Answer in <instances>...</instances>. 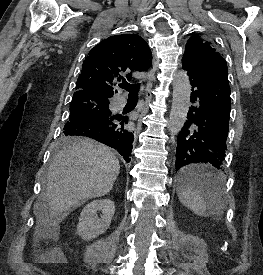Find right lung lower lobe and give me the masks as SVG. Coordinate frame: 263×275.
Returning <instances> with one entry per match:
<instances>
[{
	"mask_svg": "<svg viewBox=\"0 0 263 275\" xmlns=\"http://www.w3.org/2000/svg\"><path fill=\"white\" fill-rule=\"evenodd\" d=\"M128 117L122 114L99 118H86L64 128V133L71 136H85L95 139L116 149L130 162L134 136L124 128Z\"/></svg>",
	"mask_w": 263,
	"mask_h": 275,
	"instance_id": "1",
	"label": "right lung lower lobe"
}]
</instances>
